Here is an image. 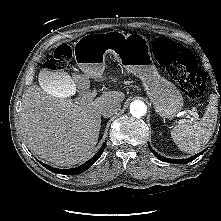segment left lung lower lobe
Segmentation results:
<instances>
[{
  "instance_id": "left-lung-lower-lobe-1",
  "label": "left lung lower lobe",
  "mask_w": 221,
  "mask_h": 221,
  "mask_svg": "<svg viewBox=\"0 0 221 221\" xmlns=\"http://www.w3.org/2000/svg\"><path fill=\"white\" fill-rule=\"evenodd\" d=\"M148 147H149V150L160 160L164 161V162H169V163H175V164H185V163H188L192 160H194L195 158H197L198 156H200L203 152L199 153V154H196L190 158H187V159H169V158H166V157H163L159 154H157L151 147L150 145L148 144Z\"/></svg>"
}]
</instances>
